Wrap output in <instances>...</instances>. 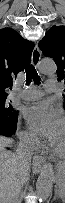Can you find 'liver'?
I'll return each instance as SVG.
<instances>
[{"mask_svg":"<svg viewBox=\"0 0 65 203\" xmlns=\"http://www.w3.org/2000/svg\"><path fill=\"white\" fill-rule=\"evenodd\" d=\"M11 143L12 140L9 138H0V199H8L12 193L14 183L21 179L20 163L14 153L4 148ZM28 166H30V163Z\"/></svg>","mask_w":65,"mask_h":203,"instance_id":"1","label":"liver"}]
</instances>
